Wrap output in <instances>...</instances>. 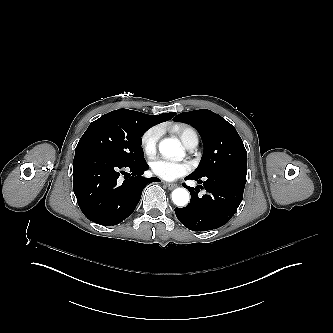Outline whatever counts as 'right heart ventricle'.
<instances>
[{
  "label": "right heart ventricle",
  "mask_w": 333,
  "mask_h": 333,
  "mask_svg": "<svg viewBox=\"0 0 333 333\" xmlns=\"http://www.w3.org/2000/svg\"><path fill=\"white\" fill-rule=\"evenodd\" d=\"M192 133L196 134V132L190 127H186L184 129H179L178 131H176L177 136L181 139L185 146L188 141L189 135Z\"/></svg>",
  "instance_id": "right-heart-ventricle-1"
}]
</instances>
